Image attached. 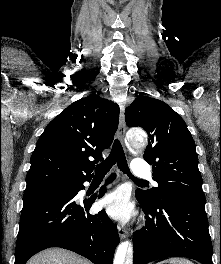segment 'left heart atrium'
Here are the masks:
<instances>
[{
	"mask_svg": "<svg viewBox=\"0 0 221 264\" xmlns=\"http://www.w3.org/2000/svg\"><path fill=\"white\" fill-rule=\"evenodd\" d=\"M101 205L110 217L120 221L129 220L134 210L128 193L123 188L107 193L101 200Z\"/></svg>",
	"mask_w": 221,
	"mask_h": 264,
	"instance_id": "1",
	"label": "left heart atrium"
}]
</instances>
